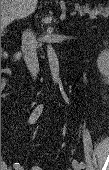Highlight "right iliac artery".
<instances>
[{"instance_id": "right-iliac-artery-1", "label": "right iliac artery", "mask_w": 109, "mask_h": 170, "mask_svg": "<svg viewBox=\"0 0 109 170\" xmlns=\"http://www.w3.org/2000/svg\"><path fill=\"white\" fill-rule=\"evenodd\" d=\"M43 110V105L40 104L36 107V109L33 111V113L31 114L30 118H29V124H34L36 122V120L39 118V116L41 115ZM14 168L16 170H18V168L20 167L19 163H14Z\"/></svg>"}]
</instances>
